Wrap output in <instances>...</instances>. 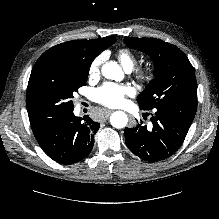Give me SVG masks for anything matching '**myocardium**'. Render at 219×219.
<instances>
[{
	"label": "myocardium",
	"instance_id": "obj_1",
	"mask_svg": "<svg viewBox=\"0 0 219 219\" xmlns=\"http://www.w3.org/2000/svg\"><path fill=\"white\" fill-rule=\"evenodd\" d=\"M153 76V71L150 66L138 67L135 70V77L141 82H148Z\"/></svg>",
	"mask_w": 219,
	"mask_h": 219
}]
</instances>
